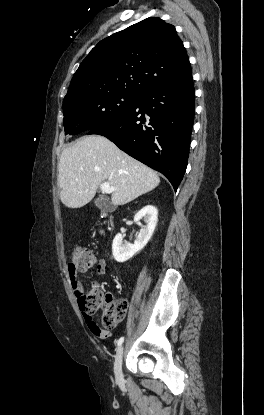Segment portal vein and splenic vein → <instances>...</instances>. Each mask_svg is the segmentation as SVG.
Returning a JSON list of instances; mask_svg holds the SVG:
<instances>
[{"label":"portal vein and splenic vein","mask_w":264,"mask_h":415,"mask_svg":"<svg viewBox=\"0 0 264 415\" xmlns=\"http://www.w3.org/2000/svg\"><path fill=\"white\" fill-rule=\"evenodd\" d=\"M100 188L102 190V192H105L107 194H110L114 191H116V188L113 186H110V184L108 182H104L100 185Z\"/></svg>","instance_id":"obj_1"}]
</instances>
